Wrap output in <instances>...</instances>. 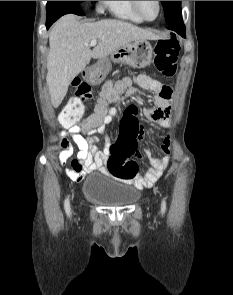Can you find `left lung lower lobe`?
<instances>
[{"mask_svg":"<svg viewBox=\"0 0 233 295\" xmlns=\"http://www.w3.org/2000/svg\"><path fill=\"white\" fill-rule=\"evenodd\" d=\"M182 21L176 22L172 25H168L167 28L177 32L182 37H186L185 35V26L181 25Z\"/></svg>","mask_w":233,"mask_h":295,"instance_id":"left-lung-lower-lobe-1","label":"left lung lower lobe"}]
</instances>
